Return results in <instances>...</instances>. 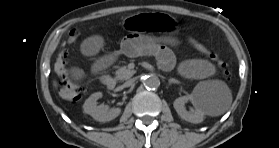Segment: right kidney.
<instances>
[{"label": "right kidney", "instance_id": "ca27d5eb", "mask_svg": "<svg viewBox=\"0 0 279 148\" xmlns=\"http://www.w3.org/2000/svg\"><path fill=\"white\" fill-rule=\"evenodd\" d=\"M102 92L93 93L84 103L83 109L86 114H89L95 120L107 122L115 119L120 115L121 109L115 108L108 110L106 105H97V100L102 98Z\"/></svg>", "mask_w": 279, "mask_h": 148}]
</instances>
